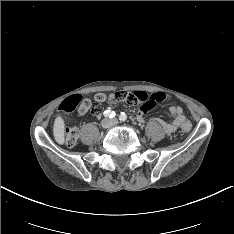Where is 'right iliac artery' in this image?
<instances>
[{"label": "right iliac artery", "mask_w": 234, "mask_h": 234, "mask_svg": "<svg viewBox=\"0 0 234 234\" xmlns=\"http://www.w3.org/2000/svg\"><path fill=\"white\" fill-rule=\"evenodd\" d=\"M103 114H104L105 117H108V118L115 117V112L111 111V110H106Z\"/></svg>", "instance_id": "obj_1"}]
</instances>
